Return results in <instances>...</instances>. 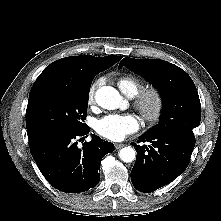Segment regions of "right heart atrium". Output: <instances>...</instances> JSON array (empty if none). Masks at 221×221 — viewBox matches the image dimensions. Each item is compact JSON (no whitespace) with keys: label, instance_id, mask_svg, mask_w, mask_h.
<instances>
[{"label":"right heart atrium","instance_id":"obj_1","mask_svg":"<svg viewBox=\"0 0 221 221\" xmlns=\"http://www.w3.org/2000/svg\"><path fill=\"white\" fill-rule=\"evenodd\" d=\"M100 84H101V80H98L90 86L88 93H87V101H88L89 105L94 104L95 93H96V90Z\"/></svg>","mask_w":221,"mask_h":221}]
</instances>
